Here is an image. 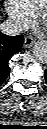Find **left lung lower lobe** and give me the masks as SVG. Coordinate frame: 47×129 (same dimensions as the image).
I'll return each instance as SVG.
<instances>
[{
  "mask_svg": "<svg viewBox=\"0 0 47 129\" xmlns=\"http://www.w3.org/2000/svg\"><path fill=\"white\" fill-rule=\"evenodd\" d=\"M45 79H46V82H47V70H45Z\"/></svg>",
  "mask_w": 47,
  "mask_h": 129,
  "instance_id": "obj_1",
  "label": "left lung lower lobe"
}]
</instances>
